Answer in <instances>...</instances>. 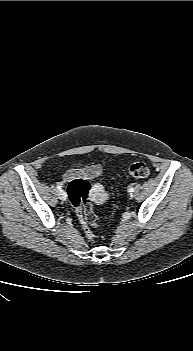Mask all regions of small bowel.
<instances>
[{"instance_id": "c3829d8e", "label": "small bowel", "mask_w": 193, "mask_h": 351, "mask_svg": "<svg viewBox=\"0 0 193 351\" xmlns=\"http://www.w3.org/2000/svg\"><path fill=\"white\" fill-rule=\"evenodd\" d=\"M102 172V167L96 163L86 166H78L65 173L63 182H69L75 178L93 179L100 176Z\"/></svg>"}]
</instances>
